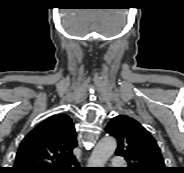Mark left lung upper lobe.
Masks as SVG:
<instances>
[{"mask_svg":"<svg viewBox=\"0 0 184 173\" xmlns=\"http://www.w3.org/2000/svg\"><path fill=\"white\" fill-rule=\"evenodd\" d=\"M105 130L118 141L116 154L128 162L125 173H167L155 139L136 120L119 115L110 120Z\"/></svg>","mask_w":184,"mask_h":173,"instance_id":"1","label":"left lung upper lobe"}]
</instances>
